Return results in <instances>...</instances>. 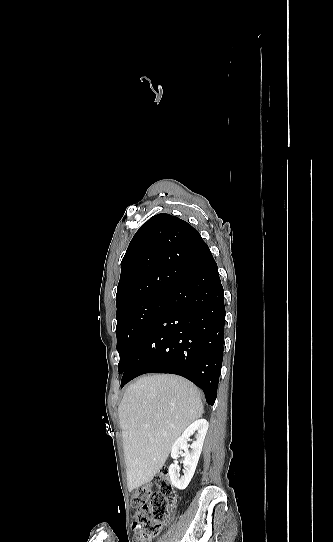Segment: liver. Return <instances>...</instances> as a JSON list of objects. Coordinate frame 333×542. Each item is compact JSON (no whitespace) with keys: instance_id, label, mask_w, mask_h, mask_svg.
Returning a JSON list of instances; mask_svg holds the SVG:
<instances>
[{"instance_id":"6515ba94","label":"liver","mask_w":333,"mask_h":542,"mask_svg":"<svg viewBox=\"0 0 333 542\" xmlns=\"http://www.w3.org/2000/svg\"><path fill=\"white\" fill-rule=\"evenodd\" d=\"M128 492L149 484L182 432L202 418L200 392L174 374L142 376L118 408Z\"/></svg>"}]
</instances>
